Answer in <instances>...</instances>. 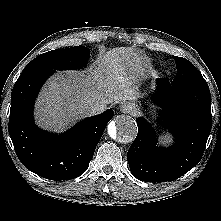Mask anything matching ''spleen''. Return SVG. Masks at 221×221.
Instances as JSON below:
<instances>
[{
    "instance_id": "3e777b00",
    "label": "spleen",
    "mask_w": 221,
    "mask_h": 221,
    "mask_svg": "<svg viewBox=\"0 0 221 221\" xmlns=\"http://www.w3.org/2000/svg\"><path fill=\"white\" fill-rule=\"evenodd\" d=\"M164 138H165L166 140H168V139H169V137H168V136H165Z\"/></svg>"
}]
</instances>
